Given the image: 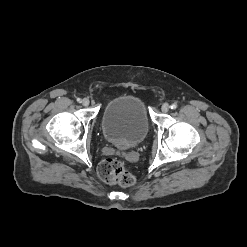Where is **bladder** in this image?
Instances as JSON below:
<instances>
[{
  "label": "bladder",
  "instance_id": "obj_1",
  "mask_svg": "<svg viewBox=\"0 0 247 247\" xmlns=\"http://www.w3.org/2000/svg\"><path fill=\"white\" fill-rule=\"evenodd\" d=\"M105 139L120 149L136 146L149 132L150 121L144 101L134 95L108 102L101 118Z\"/></svg>",
  "mask_w": 247,
  "mask_h": 247
}]
</instances>
